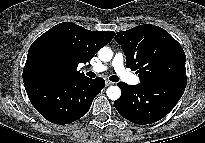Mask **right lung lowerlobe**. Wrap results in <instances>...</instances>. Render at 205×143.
Instances as JSON below:
<instances>
[{"label":"right lung lower lobe","instance_id":"1","mask_svg":"<svg viewBox=\"0 0 205 143\" xmlns=\"http://www.w3.org/2000/svg\"><path fill=\"white\" fill-rule=\"evenodd\" d=\"M23 82L35 109L55 124H69L84 116L105 86L100 77L68 78L46 71L26 73Z\"/></svg>","mask_w":205,"mask_h":143}]
</instances>
